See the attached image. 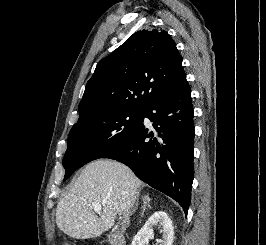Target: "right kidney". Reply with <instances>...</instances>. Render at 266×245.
Returning a JSON list of instances; mask_svg holds the SVG:
<instances>
[{
    "label": "right kidney",
    "instance_id": "obj_1",
    "mask_svg": "<svg viewBox=\"0 0 266 245\" xmlns=\"http://www.w3.org/2000/svg\"><path fill=\"white\" fill-rule=\"evenodd\" d=\"M154 227L161 229L162 241H159L160 245H172L174 229L171 219H169L164 211H156V213L151 215L141 231L135 235L132 245H148L149 239L154 235Z\"/></svg>",
    "mask_w": 266,
    "mask_h": 245
}]
</instances>
